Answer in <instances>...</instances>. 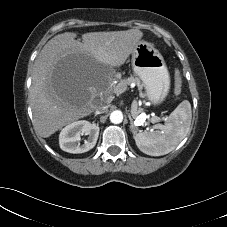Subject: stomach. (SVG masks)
Segmentation results:
<instances>
[{"label": "stomach", "mask_w": 227, "mask_h": 227, "mask_svg": "<svg viewBox=\"0 0 227 227\" xmlns=\"http://www.w3.org/2000/svg\"><path fill=\"white\" fill-rule=\"evenodd\" d=\"M131 64L143 83L147 99L153 105L161 104L170 89V76L163 56L151 43L142 40L132 52Z\"/></svg>", "instance_id": "0dacf381"}]
</instances>
